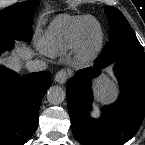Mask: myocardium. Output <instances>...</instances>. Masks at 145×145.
Segmentation results:
<instances>
[{
    "mask_svg": "<svg viewBox=\"0 0 145 145\" xmlns=\"http://www.w3.org/2000/svg\"><path fill=\"white\" fill-rule=\"evenodd\" d=\"M104 34L99 23L86 31L76 48L75 63L79 66L90 63L99 53Z\"/></svg>",
    "mask_w": 145,
    "mask_h": 145,
    "instance_id": "myocardium-1",
    "label": "myocardium"
}]
</instances>
